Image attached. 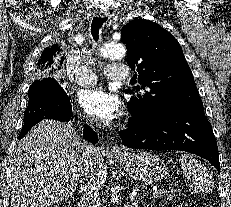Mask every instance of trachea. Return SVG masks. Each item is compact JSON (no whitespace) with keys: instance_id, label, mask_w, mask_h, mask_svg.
Returning <instances> with one entry per match:
<instances>
[{"instance_id":"obj_1","label":"trachea","mask_w":231,"mask_h":207,"mask_svg":"<svg viewBox=\"0 0 231 207\" xmlns=\"http://www.w3.org/2000/svg\"><path fill=\"white\" fill-rule=\"evenodd\" d=\"M107 17L101 18V17H94L91 24V34L94 39V41L99 40V30L102 27V25L107 21Z\"/></svg>"}]
</instances>
